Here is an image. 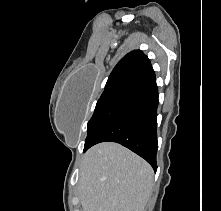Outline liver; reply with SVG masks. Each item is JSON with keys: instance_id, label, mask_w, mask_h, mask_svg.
Masks as SVG:
<instances>
[{"instance_id": "6515ba94", "label": "liver", "mask_w": 221, "mask_h": 211, "mask_svg": "<svg viewBox=\"0 0 221 211\" xmlns=\"http://www.w3.org/2000/svg\"><path fill=\"white\" fill-rule=\"evenodd\" d=\"M154 172L141 157L113 142L90 148L80 164L83 211H144Z\"/></svg>"}]
</instances>
